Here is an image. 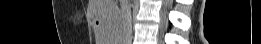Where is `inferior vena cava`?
<instances>
[{
	"instance_id": "inferior-vena-cava-1",
	"label": "inferior vena cava",
	"mask_w": 261,
	"mask_h": 44,
	"mask_svg": "<svg viewBox=\"0 0 261 44\" xmlns=\"http://www.w3.org/2000/svg\"><path fill=\"white\" fill-rule=\"evenodd\" d=\"M132 38V21H131V9L126 8V16L124 22V40L128 41Z\"/></svg>"
}]
</instances>
